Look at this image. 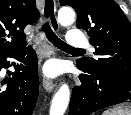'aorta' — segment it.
I'll return each mask as SVG.
<instances>
[{"label": "aorta", "mask_w": 131, "mask_h": 115, "mask_svg": "<svg viewBox=\"0 0 131 115\" xmlns=\"http://www.w3.org/2000/svg\"><path fill=\"white\" fill-rule=\"evenodd\" d=\"M75 20V13L71 8L63 7L58 11V21L62 26H68ZM70 99V89L63 84L52 99L50 115H64Z\"/></svg>", "instance_id": "obj_1"}]
</instances>
